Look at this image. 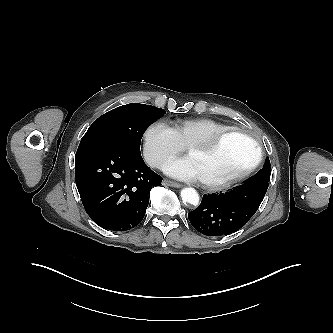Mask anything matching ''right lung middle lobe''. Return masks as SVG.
Listing matches in <instances>:
<instances>
[{"instance_id":"right-lung-middle-lobe-1","label":"right lung middle lobe","mask_w":333,"mask_h":333,"mask_svg":"<svg viewBox=\"0 0 333 333\" xmlns=\"http://www.w3.org/2000/svg\"><path fill=\"white\" fill-rule=\"evenodd\" d=\"M165 113L163 109L138 103L117 107L94 121L80 145L113 144L140 154V142L145 130Z\"/></svg>"}]
</instances>
